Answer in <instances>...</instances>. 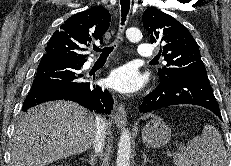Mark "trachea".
<instances>
[{
  "label": "trachea",
  "mask_w": 231,
  "mask_h": 166,
  "mask_svg": "<svg viewBox=\"0 0 231 166\" xmlns=\"http://www.w3.org/2000/svg\"><path fill=\"white\" fill-rule=\"evenodd\" d=\"M121 3V11H122V25L126 21V16L130 9V0H120ZM94 51L101 52L100 57H107L113 50V47H105L103 49L99 47H94Z\"/></svg>",
  "instance_id": "3493384b"
}]
</instances>
